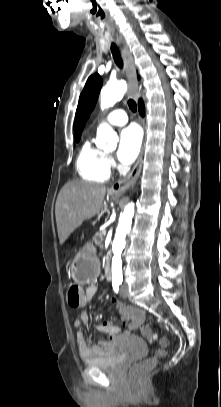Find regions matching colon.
Here are the masks:
<instances>
[{
  "mask_svg": "<svg viewBox=\"0 0 221 407\" xmlns=\"http://www.w3.org/2000/svg\"><path fill=\"white\" fill-rule=\"evenodd\" d=\"M67 306H69L70 311H82L83 303H84V293L83 291H79V286L74 284L70 291L66 294ZM117 316L122 317L124 322L130 326L131 330H140L143 336L148 338L149 340L156 339V333L153 329L149 326L145 325L146 315L143 313L142 309H136L134 305H120L117 307ZM163 344H167V340L164 339ZM166 355L165 350H158L154 356L149 357L143 361L135 363L129 370V380L132 384L137 385L139 384L146 373L151 370L156 361L159 358H163Z\"/></svg>",
  "mask_w": 221,
  "mask_h": 407,
  "instance_id": "colon-1",
  "label": "colon"
}]
</instances>
